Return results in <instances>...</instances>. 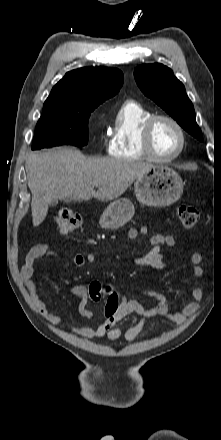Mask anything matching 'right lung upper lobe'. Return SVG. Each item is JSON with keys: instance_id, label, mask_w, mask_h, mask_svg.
I'll return each instance as SVG.
<instances>
[{"instance_id": "cb5924a9", "label": "right lung upper lobe", "mask_w": 221, "mask_h": 440, "mask_svg": "<svg viewBox=\"0 0 221 440\" xmlns=\"http://www.w3.org/2000/svg\"><path fill=\"white\" fill-rule=\"evenodd\" d=\"M122 84L123 74L116 68H80L66 73L45 102L98 106L114 96Z\"/></svg>"}]
</instances>
